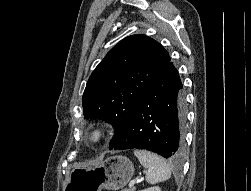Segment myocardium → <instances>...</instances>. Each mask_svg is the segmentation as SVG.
<instances>
[{"label":"myocardium","mask_w":251,"mask_h":191,"mask_svg":"<svg viewBox=\"0 0 251 191\" xmlns=\"http://www.w3.org/2000/svg\"><path fill=\"white\" fill-rule=\"evenodd\" d=\"M96 136L97 140L92 142L89 140L90 136ZM111 139V128L108 123L104 121H97L89 124L82 131V140L85 145L93 151L104 150Z\"/></svg>","instance_id":"obj_1"}]
</instances>
